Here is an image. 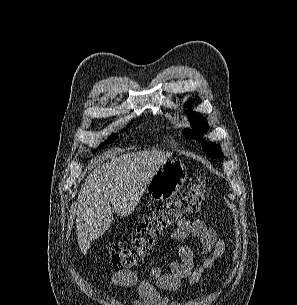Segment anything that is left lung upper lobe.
Returning a JSON list of instances; mask_svg holds the SVG:
<instances>
[{
  "label": "left lung upper lobe",
  "mask_w": 297,
  "mask_h": 305,
  "mask_svg": "<svg viewBox=\"0 0 297 305\" xmlns=\"http://www.w3.org/2000/svg\"><path fill=\"white\" fill-rule=\"evenodd\" d=\"M192 103L189 102L188 103V107H191ZM189 121H191V125L194 126V130L190 131L188 129H185L183 131L184 135L187 138H193V139H199L200 138V133H203L204 131L207 130L208 124L206 119H204L201 114L196 113V112H192L189 115ZM198 134H194V132H196ZM205 146V152L207 154L210 153V157L215 156V157H221L222 156V152L220 150V147L218 145H216L215 143H204L203 144Z\"/></svg>",
  "instance_id": "5c2ea615"
}]
</instances>
